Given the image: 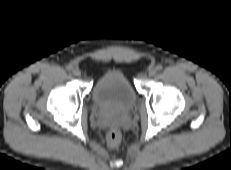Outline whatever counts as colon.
I'll return each mask as SVG.
<instances>
[{
	"label": "colon",
	"mask_w": 231,
	"mask_h": 170,
	"mask_svg": "<svg viewBox=\"0 0 231 170\" xmlns=\"http://www.w3.org/2000/svg\"><path fill=\"white\" fill-rule=\"evenodd\" d=\"M122 135L118 129H112L107 135V143L109 147L116 148L121 142Z\"/></svg>",
	"instance_id": "1"
}]
</instances>
